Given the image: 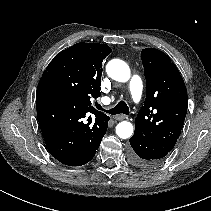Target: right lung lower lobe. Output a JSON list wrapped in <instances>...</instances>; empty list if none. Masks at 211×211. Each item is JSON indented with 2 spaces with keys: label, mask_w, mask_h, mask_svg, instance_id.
<instances>
[{
  "label": "right lung lower lobe",
  "mask_w": 211,
  "mask_h": 211,
  "mask_svg": "<svg viewBox=\"0 0 211 211\" xmlns=\"http://www.w3.org/2000/svg\"><path fill=\"white\" fill-rule=\"evenodd\" d=\"M36 109L45 144L59 162L81 166L95 156L109 116L96 113L70 93L39 84Z\"/></svg>",
  "instance_id": "98d812e1"
}]
</instances>
